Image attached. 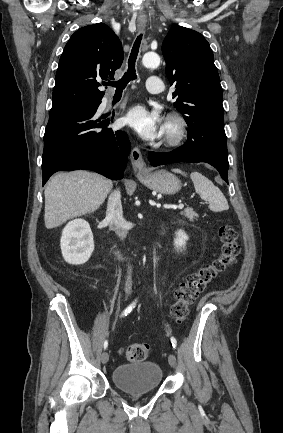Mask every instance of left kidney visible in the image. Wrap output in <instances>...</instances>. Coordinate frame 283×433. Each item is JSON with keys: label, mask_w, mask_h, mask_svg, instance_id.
I'll return each mask as SVG.
<instances>
[{"label": "left kidney", "mask_w": 283, "mask_h": 433, "mask_svg": "<svg viewBox=\"0 0 283 433\" xmlns=\"http://www.w3.org/2000/svg\"><path fill=\"white\" fill-rule=\"evenodd\" d=\"M176 237L174 239V246L178 250H182V248H185L186 242L188 240L187 234L183 230H178L176 233Z\"/></svg>", "instance_id": "obj_1"}]
</instances>
